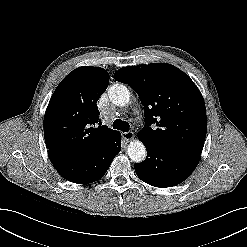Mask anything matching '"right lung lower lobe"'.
Here are the masks:
<instances>
[{"label": "right lung lower lobe", "instance_id": "obj_1", "mask_svg": "<svg viewBox=\"0 0 247 247\" xmlns=\"http://www.w3.org/2000/svg\"><path fill=\"white\" fill-rule=\"evenodd\" d=\"M120 150L121 136L118 133L104 146L86 157H72L51 150L48 151V155L63 178L73 183L87 184L104 176Z\"/></svg>", "mask_w": 247, "mask_h": 247}]
</instances>
